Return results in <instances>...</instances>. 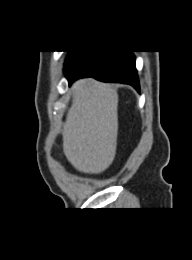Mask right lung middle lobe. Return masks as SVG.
I'll use <instances>...</instances> for the list:
<instances>
[{"mask_svg":"<svg viewBox=\"0 0 192 260\" xmlns=\"http://www.w3.org/2000/svg\"><path fill=\"white\" fill-rule=\"evenodd\" d=\"M83 53L84 52H80V51H72L71 54L66 59L65 68L64 69H66L70 64H72Z\"/></svg>","mask_w":192,"mask_h":260,"instance_id":"1","label":"right lung middle lobe"}]
</instances>
